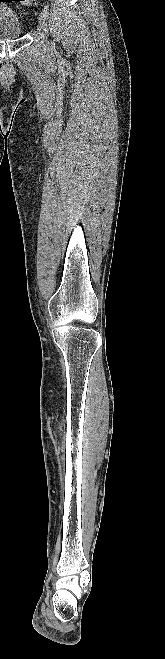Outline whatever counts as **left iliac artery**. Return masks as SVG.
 <instances>
[{"mask_svg":"<svg viewBox=\"0 0 165 659\" xmlns=\"http://www.w3.org/2000/svg\"><path fill=\"white\" fill-rule=\"evenodd\" d=\"M41 14H43V15H44V16H45L46 18H48V17H49V12H48V10H47V9H45V8H44V9H42V12H41Z\"/></svg>","mask_w":165,"mask_h":659,"instance_id":"44dca946","label":"left iliac artery"}]
</instances>
